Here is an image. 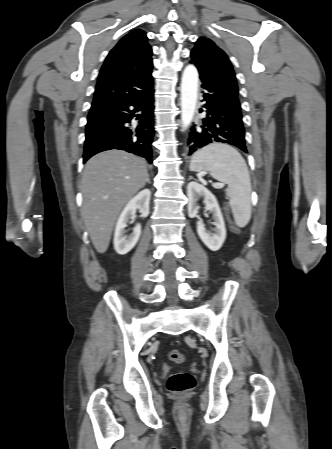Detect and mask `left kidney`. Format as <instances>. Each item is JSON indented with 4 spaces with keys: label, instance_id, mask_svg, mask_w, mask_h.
I'll return each mask as SVG.
<instances>
[{
    "label": "left kidney",
    "instance_id": "5707ae66",
    "mask_svg": "<svg viewBox=\"0 0 332 449\" xmlns=\"http://www.w3.org/2000/svg\"><path fill=\"white\" fill-rule=\"evenodd\" d=\"M187 196L188 215L190 218H198L197 233L200 239L210 250H219L225 241L226 229L216 197L205 186L194 181L187 185ZM200 197L204 198L206 210L213 213V224L215 225V233L213 235H210L206 231L204 224L198 216L197 201Z\"/></svg>",
    "mask_w": 332,
    "mask_h": 449
}]
</instances>
